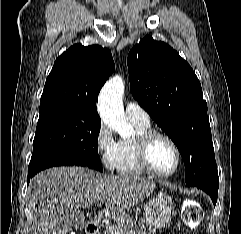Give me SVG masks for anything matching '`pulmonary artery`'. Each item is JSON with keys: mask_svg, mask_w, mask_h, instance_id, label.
Here are the masks:
<instances>
[{"mask_svg": "<svg viewBox=\"0 0 241 234\" xmlns=\"http://www.w3.org/2000/svg\"><path fill=\"white\" fill-rule=\"evenodd\" d=\"M125 113L131 122L144 125L150 124L149 114L136 102H128Z\"/></svg>", "mask_w": 241, "mask_h": 234, "instance_id": "1", "label": "pulmonary artery"}]
</instances>
